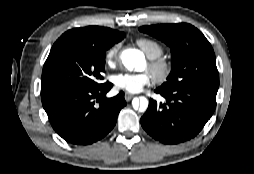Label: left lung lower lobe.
<instances>
[{
  "instance_id": "0a47b994",
  "label": "left lung lower lobe",
  "mask_w": 254,
  "mask_h": 174,
  "mask_svg": "<svg viewBox=\"0 0 254 174\" xmlns=\"http://www.w3.org/2000/svg\"><path fill=\"white\" fill-rule=\"evenodd\" d=\"M218 89L190 85L174 91L155 90L167 102L150 99L141 125L154 139L177 144L195 137L211 118L216 107Z\"/></svg>"
}]
</instances>
